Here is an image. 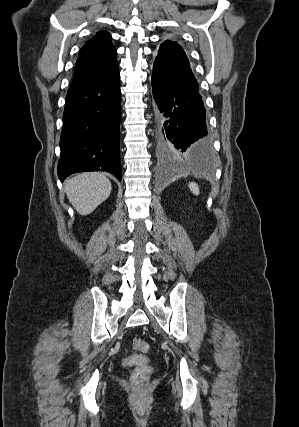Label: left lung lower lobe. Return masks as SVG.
Wrapping results in <instances>:
<instances>
[{
  "instance_id": "1",
  "label": "left lung lower lobe",
  "mask_w": 299,
  "mask_h": 427,
  "mask_svg": "<svg viewBox=\"0 0 299 427\" xmlns=\"http://www.w3.org/2000/svg\"><path fill=\"white\" fill-rule=\"evenodd\" d=\"M158 152L165 162L188 159L203 173L213 170L206 112L189 60L177 43L163 42L154 61Z\"/></svg>"
}]
</instances>
